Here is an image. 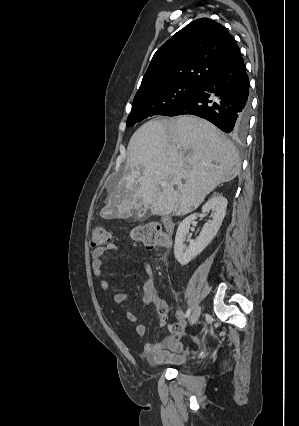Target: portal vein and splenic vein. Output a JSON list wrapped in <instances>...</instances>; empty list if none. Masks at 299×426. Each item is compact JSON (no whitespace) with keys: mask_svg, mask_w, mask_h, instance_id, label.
I'll use <instances>...</instances> for the list:
<instances>
[{"mask_svg":"<svg viewBox=\"0 0 299 426\" xmlns=\"http://www.w3.org/2000/svg\"><path fill=\"white\" fill-rule=\"evenodd\" d=\"M161 186H166V182H161Z\"/></svg>","mask_w":299,"mask_h":426,"instance_id":"obj_1","label":"portal vein and splenic vein"}]
</instances>
